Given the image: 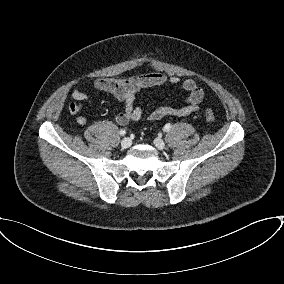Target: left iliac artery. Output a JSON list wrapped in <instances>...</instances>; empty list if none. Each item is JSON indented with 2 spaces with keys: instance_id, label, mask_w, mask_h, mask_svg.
I'll use <instances>...</instances> for the list:
<instances>
[{
  "instance_id": "obj_1",
  "label": "left iliac artery",
  "mask_w": 284,
  "mask_h": 284,
  "mask_svg": "<svg viewBox=\"0 0 284 284\" xmlns=\"http://www.w3.org/2000/svg\"><path fill=\"white\" fill-rule=\"evenodd\" d=\"M171 127H172L171 124H170V123H167V124L164 126V129H163V130H164L165 132H167V131H169V130L171 129Z\"/></svg>"
}]
</instances>
